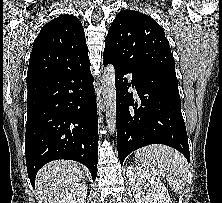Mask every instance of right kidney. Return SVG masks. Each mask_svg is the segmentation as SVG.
Segmentation results:
<instances>
[{
  "mask_svg": "<svg viewBox=\"0 0 222 203\" xmlns=\"http://www.w3.org/2000/svg\"><path fill=\"white\" fill-rule=\"evenodd\" d=\"M87 189V185L84 182L77 183L62 195L58 203H85Z\"/></svg>",
  "mask_w": 222,
  "mask_h": 203,
  "instance_id": "1",
  "label": "right kidney"
}]
</instances>
